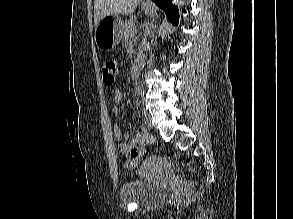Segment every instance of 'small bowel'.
I'll return each mask as SVG.
<instances>
[{"mask_svg":"<svg viewBox=\"0 0 293 219\" xmlns=\"http://www.w3.org/2000/svg\"><path fill=\"white\" fill-rule=\"evenodd\" d=\"M122 101V94L119 90H116L111 95V102H112V110L115 115L119 114V106ZM114 136L118 141V148L120 152L124 155H127L133 148L139 146L142 142L145 130H141L140 132L136 133L133 138L129 141L123 140V133L119 125H115L114 129Z\"/></svg>","mask_w":293,"mask_h":219,"instance_id":"obj_1","label":"small bowel"}]
</instances>
